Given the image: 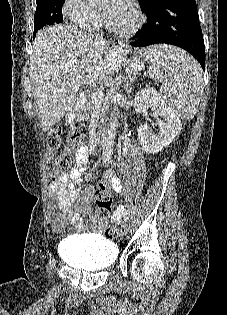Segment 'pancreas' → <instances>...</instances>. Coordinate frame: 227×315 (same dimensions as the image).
Returning a JSON list of instances; mask_svg holds the SVG:
<instances>
[{
    "mask_svg": "<svg viewBox=\"0 0 227 315\" xmlns=\"http://www.w3.org/2000/svg\"><path fill=\"white\" fill-rule=\"evenodd\" d=\"M133 71H137V68H134V70L132 69V72ZM96 83H98V79L96 80L95 84ZM97 90H101V89L99 87H93L88 92V100L84 108L80 110V114H79L80 120L82 121L88 120L90 118V114H93L95 111L100 109L101 103L104 99L100 101L98 98L95 97L94 94Z\"/></svg>",
    "mask_w": 227,
    "mask_h": 315,
    "instance_id": "obj_1",
    "label": "pancreas"
}]
</instances>
